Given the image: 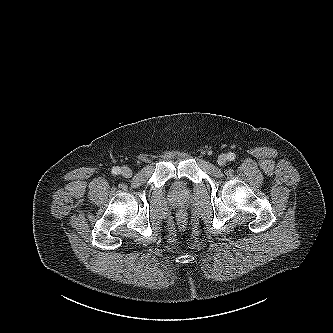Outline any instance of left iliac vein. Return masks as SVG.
Wrapping results in <instances>:
<instances>
[{"label":"left iliac vein","instance_id":"1","mask_svg":"<svg viewBox=\"0 0 333 333\" xmlns=\"http://www.w3.org/2000/svg\"><path fill=\"white\" fill-rule=\"evenodd\" d=\"M227 155L226 154H221L219 157H218V160H217V162H218V164L220 165V166H224L226 163H227Z\"/></svg>","mask_w":333,"mask_h":333}]
</instances>
